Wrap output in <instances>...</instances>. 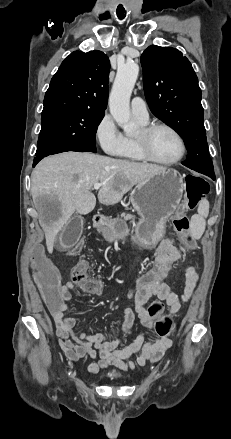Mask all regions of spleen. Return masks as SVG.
<instances>
[{
	"label": "spleen",
	"instance_id": "1",
	"mask_svg": "<svg viewBox=\"0 0 231 439\" xmlns=\"http://www.w3.org/2000/svg\"><path fill=\"white\" fill-rule=\"evenodd\" d=\"M198 214L192 216L190 228L192 236L195 239L201 238L204 233L206 226V218L209 214V202L207 200H202L198 206Z\"/></svg>",
	"mask_w": 231,
	"mask_h": 439
}]
</instances>
